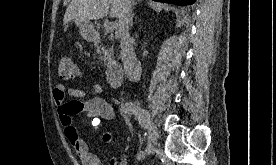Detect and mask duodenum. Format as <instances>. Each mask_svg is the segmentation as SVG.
Here are the masks:
<instances>
[{
  "label": "duodenum",
  "instance_id": "410a0bca",
  "mask_svg": "<svg viewBox=\"0 0 276 165\" xmlns=\"http://www.w3.org/2000/svg\"><path fill=\"white\" fill-rule=\"evenodd\" d=\"M93 40L99 42V36H94ZM124 75V69L120 61L112 60L109 62L107 67V79L112 87L120 85Z\"/></svg>",
  "mask_w": 276,
  "mask_h": 165
}]
</instances>
